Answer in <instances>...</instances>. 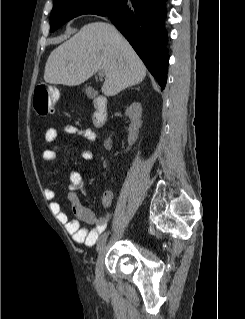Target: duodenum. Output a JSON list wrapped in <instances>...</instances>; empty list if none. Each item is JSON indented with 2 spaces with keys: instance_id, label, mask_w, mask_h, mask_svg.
<instances>
[{
  "instance_id": "duodenum-1",
  "label": "duodenum",
  "mask_w": 245,
  "mask_h": 319,
  "mask_svg": "<svg viewBox=\"0 0 245 319\" xmlns=\"http://www.w3.org/2000/svg\"><path fill=\"white\" fill-rule=\"evenodd\" d=\"M108 117V105L106 98L98 96L94 100V113L92 116V123L96 128H102Z\"/></svg>"
}]
</instances>
